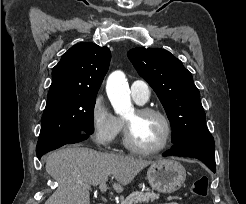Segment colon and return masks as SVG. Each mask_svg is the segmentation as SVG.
<instances>
[{
	"mask_svg": "<svg viewBox=\"0 0 246 204\" xmlns=\"http://www.w3.org/2000/svg\"><path fill=\"white\" fill-rule=\"evenodd\" d=\"M191 191L196 196H206L208 193V179L206 177L196 179L191 186Z\"/></svg>",
	"mask_w": 246,
	"mask_h": 204,
	"instance_id": "obj_1",
	"label": "colon"
}]
</instances>
